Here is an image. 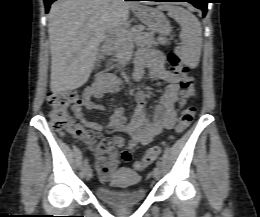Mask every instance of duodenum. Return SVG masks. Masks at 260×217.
<instances>
[{
  "instance_id": "duodenum-1",
  "label": "duodenum",
  "mask_w": 260,
  "mask_h": 217,
  "mask_svg": "<svg viewBox=\"0 0 260 217\" xmlns=\"http://www.w3.org/2000/svg\"><path fill=\"white\" fill-rule=\"evenodd\" d=\"M104 56H108V52H104ZM100 79L102 80L100 83L101 86H105L109 82L105 76H101Z\"/></svg>"
}]
</instances>
